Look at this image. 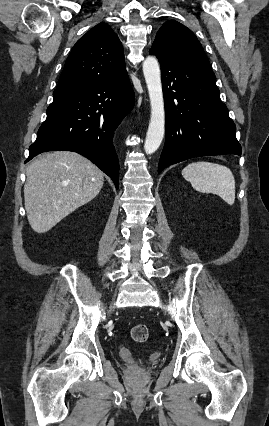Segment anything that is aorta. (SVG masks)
I'll return each mask as SVG.
<instances>
[{
	"label": "aorta",
	"instance_id": "obj_1",
	"mask_svg": "<svg viewBox=\"0 0 269 426\" xmlns=\"http://www.w3.org/2000/svg\"><path fill=\"white\" fill-rule=\"evenodd\" d=\"M143 73L151 105V116L144 149L146 154H152L159 148L163 140L165 126L161 73L158 60L154 56H148L143 62Z\"/></svg>",
	"mask_w": 269,
	"mask_h": 426
}]
</instances>
